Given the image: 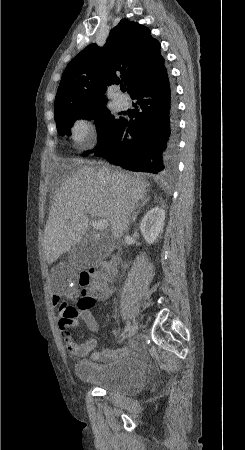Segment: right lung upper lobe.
<instances>
[{"mask_svg": "<svg viewBox=\"0 0 245 450\" xmlns=\"http://www.w3.org/2000/svg\"><path fill=\"white\" fill-rule=\"evenodd\" d=\"M163 63L160 44L150 36V30L124 19L111 31L103 48L89 45L67 65L54 106L105 105L106 84L120 81L131 95L162 69Z\"/></svg>", "mask_w": 245, "mask_h": 450, "instance_id": "right-lung-upper-lobe-1", "label": "right lung upper lobe"}]
</instances>
